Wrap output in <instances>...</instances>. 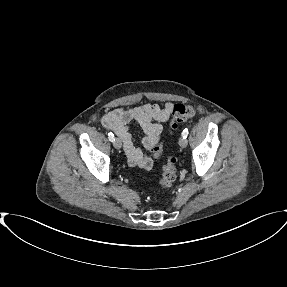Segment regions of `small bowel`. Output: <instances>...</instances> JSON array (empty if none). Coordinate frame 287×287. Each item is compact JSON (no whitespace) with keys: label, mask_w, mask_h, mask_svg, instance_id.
Instances as JSON below:
<instances>
[{"label":"small bowel","mask_w":287,"mask_h":287,"mask_svg":"<svg viewBox=\"0 0 287 287\" xmlns=\"http://www.w3.org/2000/svg\"><path fill=\"white\" fill-rule=\"evenodd\" d=\"M173 104L167 103L163 108L156 104H143L135 108L120 107L106 113L102 118L105 128L115 132L124 143V150L128 162L132 166L150 169L153 165L150 153L158 143L165 123L172 113ZM138 123L145 135L142 144L146 152L134 145L129 131V124Z\"/></svg>","instance_id":"obj_1"}]
</instances>
